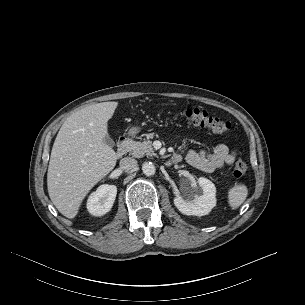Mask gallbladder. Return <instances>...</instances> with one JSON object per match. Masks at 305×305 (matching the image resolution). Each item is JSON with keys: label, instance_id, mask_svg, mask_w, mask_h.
<instances>
[{"label": "gallbladder", "instance_id": "bac80fb5", "mask_svg": "<svg viewBox=\"0 0 305 305\" xmlns=\"http://www.w3.org/2000/svg\"><path fill=\"white\" fill-rule=\"evenodd\" d=\"M103 142L110 147H113L115 145L114 140L109 135L105 136V138L103 139Z\"/></svg>", "mask_w": 305, "mask_h": 305}]
</instances>
